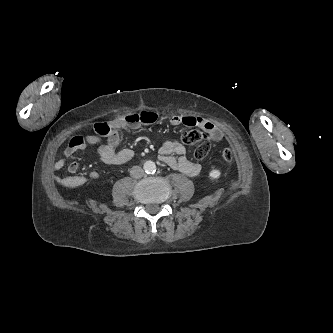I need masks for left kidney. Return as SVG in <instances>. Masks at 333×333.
<instances>
[{"mask_svg":"<svg viewBox=\"0 0 333 333\" xmlns=\"http://www.w3.org/2000/svg\"><path fill=\"white\" fill-rule=\"evenodd\" d=\"M221 176V171L220 170H217V169H214V167H213V169L210 171V173H209V178L211 179V180H216V179H218L219 177Z\"/></svg>","mask_w":333,"mask_h":333,"instance_id":"left-kidney-1","label":"left kidney"}]
</instances>
